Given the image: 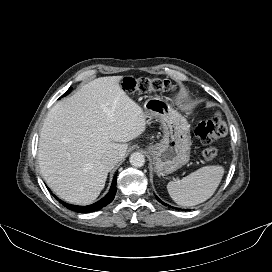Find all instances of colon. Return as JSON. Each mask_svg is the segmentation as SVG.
I'll return each instance as SVG.
<instances>
[{
	"label": "colon",
	"instance_id": "5ec220e1",
	"mask_svg": "<svg viewBox=\"0 0 272 272\" xmlns=\"http://www.w3.org/2000/svg\"><path fill=\"white\" fill-rule=\"evenodd\" d=\"M122 87L126 92L136 94L170 93L175 90L174 85L168 80L150 77H127L124 79ZM226 131V122L219 113H216L211 119L198 124L195 135L203 143L210 144L223 137ZM218 153V149L210 145L205 148L203 155L207 161H213Z\"/></svg>",
	"mask_w": 272,
	"mask_h": 272
}]
</instances>
